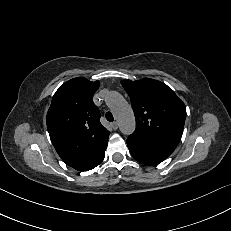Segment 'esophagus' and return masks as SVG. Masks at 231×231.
<instances>
[{
  "mask_svg": "<svg viewBox=\"0 0 231 231\" xmlns=\"http://www.w3.org/2000/svg\"><path fill=\"white\" fill-rule=\"evenodd\" d=\"M111 127L112 129L116 130L118 128V123L117 122L111 123Z\"/></svg>",
  "mask_w": 231,
  "mask_h": 231,
  "instance_id": "esophagus-1",
  "label": "esophagus"
}]
</instances>
